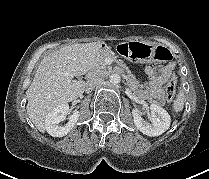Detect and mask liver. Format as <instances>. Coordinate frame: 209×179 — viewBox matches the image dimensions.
Returning <instances> with one entry per match:
<instances>
[{"label": "liver", "instance_id": "liver-1", "mask_svg": "<svg viewBox=\"0 0 209 179\" xmlns=\"http://www.w3.org/2000/svg\"><path fill=\"white\" fill-rule=\"evenodd\" d=\"M105 52L101 42L75 43L53 50L39 61L26 91V110L41 133H45L46 118L54 108L82 96L86 83L72 79L87 74Z\"/></svg>", "mask_w": 209, "mask_h": 179}]
</instances>
